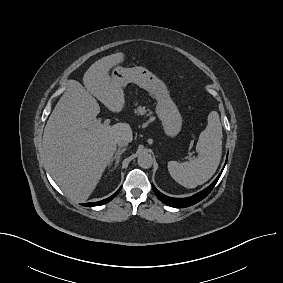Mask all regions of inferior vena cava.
<instances>
[{
  "label": "inferior vena cava",
  "mask_w": 283,
  "mask_h": 283,
  "mask_svg": "<svg viewBox=\"0 0 283 283\" xmlns=\"http://www.w3.org/2000/svg\"><path fill=\"white\" fill-rule=\"evenodd\" d=\"M128 143H129V142H128L126 139H119V140L117 141V145H118L119 147L127 146Z\"/></svg>",
  "instance_id": "1"
}]
</instances>
